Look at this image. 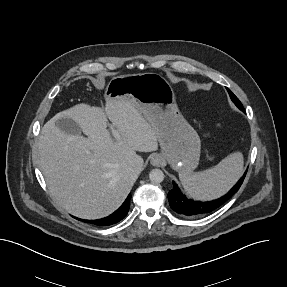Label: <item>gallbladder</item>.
I'll list each match as a JSON object with an SVG mask.
<instances>
[{"label": "gallbladder", "mask_w": 287, "mask_h": 287, "mask_svg": "<svg viewBox=\"0 0 287 287\" xmlns=\"http://www.w3.org/2000/svg\"><path fill=\"white\" fill-rule=\"evenodd\" d=\"M55 124L66 134L80 135L82 132L79 124L68 117L58 119Z\"/></svg>", "instance_id": "1"}]
</instances>
